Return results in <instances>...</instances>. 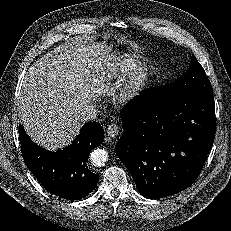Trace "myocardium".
<instances>
[{
  "mask_svg": "<svg viewBox=\"0 0 231 231\" xmlns=\"http://www.w3.org/2000/svg\"><path fill=\"white\" fill-rule=\"evenodd\" d=\"M151 71L146 65H139L120 85L115 94L118 103H125L135 98L148 84Z\"/></svg>",
  "mask_w": 231,
  "mask_h": 231,
  "instance_id": "obj_1",
  "label": "myocardium"
}]
</instances>
